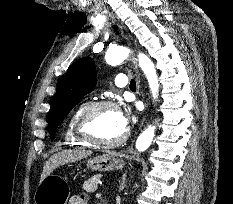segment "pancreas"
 <instances>
[{
    "instance_id": "obj_1",
    "label": "pancreas",
    "mask_w": 233,
    "mask_h": 204,
    "mask_svg": "<svg viewBox=\"0 0 233 204\" xmlns=\"http://www.w3.org/2000/svg\"><path fill=\"white\" fill-rule=\"evenodd\" d=\"M101 177L102 176L100 174L93 175L83 183L82 189L88 193L95 192L98 188V182L100 181Z\"/></svg>"
}]
</instances>
